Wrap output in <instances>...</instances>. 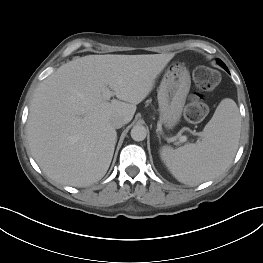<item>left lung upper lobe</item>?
Here are the masks:
<instances>
[{"label":"left lung upper lobe","mask_w":263,"mask_h":263,"mask_svg":"<svg viewBox=\"0 0 263 263\" xmlns=\"http://www.w3.org/2000/svg\"><path fill=\"white\" fill-rule=\"evenodd\" d=\"M217 62H218L226 71H228L226 65H225L221 60L218 59Z\"/></svg>","instance_id":"1"}]
</instances>
